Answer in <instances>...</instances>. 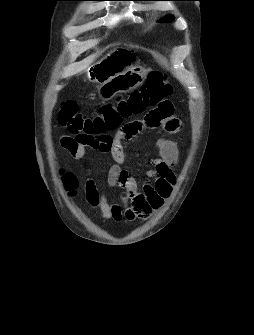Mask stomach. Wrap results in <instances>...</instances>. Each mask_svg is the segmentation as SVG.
Instances as JSON below:
<instances>
[{
	"mask_svg": "<svg viewBox=\"0 0 254 335\" xmlns=\"http://www.w3.org/2000/svg\"><path fill=\"white\" fill-rule=\"evenodd\" d=\"M129 59L128 52L121 51L93 65L90 78L100 84L98 95L102 100H109L117 93L129 91L144 82L147 71L143 68L127 67L119 72Z\"/></svg>",
	"mask_w": 254,
	"mask_h": 335,
	"instance_id": "obj_1",
	"label": "stomach"
}]
</instances>
